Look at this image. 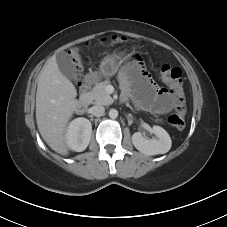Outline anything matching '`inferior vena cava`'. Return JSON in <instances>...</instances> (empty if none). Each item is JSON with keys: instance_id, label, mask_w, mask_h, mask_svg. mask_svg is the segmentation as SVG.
Wrapping results in <instances>:
<instances>
[{"instance_id": "602c4592", "label": "inferior vena cava", "mask_w": 227, "mask_h": 227, "mask_svg": "<svg viewBox=\"0 0 227 227\" xmlns=\"http://www.w3.org/2000/svg\"><path fill=\"white\" fill-rule=\"evenodd\" d=\"M91 114L94 116L100 117L104 115L105 108L102 105H95L91 107Z\"/></svg>"}]
</instances>
